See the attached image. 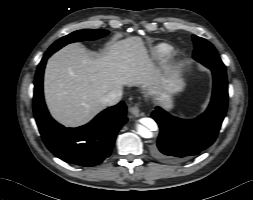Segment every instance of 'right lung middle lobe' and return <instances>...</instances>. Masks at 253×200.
I'll return each mask as SVG.
<instances>
[{
	"label": "right lung middle lobe",
	"mask_w": 253,
	"mask_h": 200,
	"mask_svg": "<svg viewBox=\"0 0 253 200\" xmlns=\"http://www.w3.org/2000/svg\"><path fill=\"white\" fill-rule=\"evenodd\" d=\"M107 34L108 31L100 29L78 30L57 40L47 51H57L66 44L84 40H95L104 37Z\"/></svg>",
	"instance_id": "1"
}]
</instances>
